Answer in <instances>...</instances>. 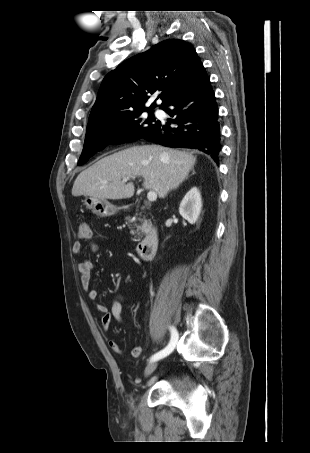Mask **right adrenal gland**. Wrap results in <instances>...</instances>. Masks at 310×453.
I'll use <instances>...</instances> for the list:
<instances>
[{
	"label": "right adrenal gland",
	"instance_id": "right-adrenal-gland-1",
	"mask_svg": "<svg viewBox=\"0 0 310 453\" xmlns=\"http://www.w3.org/2000/svg\"><path fill=\"white\" fill-rule=\"evenodd\" d=\"M192 174H193V175L195 174V171H194V169L192 170ZM187 179H188V178H186V180H187Z\"/></svg>",
	"mask_w": 310,
	"mask_h": 453
}]
</instances>
